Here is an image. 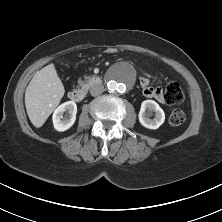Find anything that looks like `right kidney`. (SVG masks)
I'll return each instance as SVG.
<instances>
[{"label": "right kidney", "mask_w": 222, "mask_h": 222, "mask_svg": "<svg viewBox=\"0 0 222 222\" xmlns=\"http://www.w3.org/2000/svg\"><path fill=\"white\" fill-rule=\"evenodd\" d=\"M76 113L77 105L74 101H67L58 106L52 116L54 128L57 131L68 130L76 120Z\"/></svg>", "instance_id": "1"}]
</instances>
